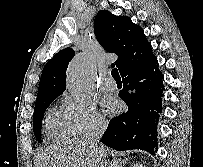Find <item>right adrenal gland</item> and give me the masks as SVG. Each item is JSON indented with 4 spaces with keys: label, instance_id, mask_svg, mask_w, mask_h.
<instances>
[{
    "label": "right adrenal gland",
    "instance_id": "2a0ac1e0",
    "mask_svg": "<svg viewBox=\"0 0 203 167\" xmlns=\"http://www.w3.org/2000/svg\"><path fill=\"white\" fill-rule=\"evenodd\" d=\"M126 161L123 162H115L114 164H111L109 167H123Z\"/></svg>",
    "mask_w": 203,
    "mask_h": 167
}]
</instances>
